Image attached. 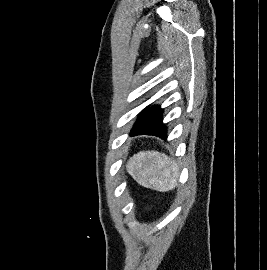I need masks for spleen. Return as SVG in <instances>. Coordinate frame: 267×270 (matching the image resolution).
Masks as SVG:
<instances>
[{"label":"spleen","instance_id":"obj_1","mask_svg":"<svg viewBox=\"0 0 267 270\" xmlns=\"http://www.w3.org/2000/svg\"><path fill=\"white\" fill-rule=\"evenodd\" d=\"M126 168L138 184L160 192L172 190L179 175L175 161L157 151H141L135 154Z\"/></svg>","mask_w":267,"mask_h":270}]
</instances>
